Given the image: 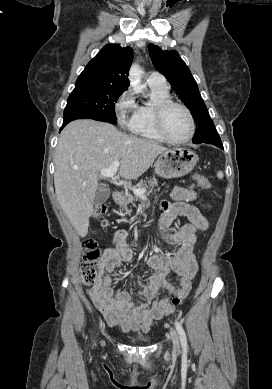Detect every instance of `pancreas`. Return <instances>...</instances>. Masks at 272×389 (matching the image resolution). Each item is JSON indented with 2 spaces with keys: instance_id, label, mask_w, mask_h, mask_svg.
Returning a JSON list of instances; mask_svg holds the SVG:
<instances>
[{
  "instance_id": "obj_1",
  "label": "pancreas",
  "mask_w": 272,
  "mask_h": 389,
  "mask_svg": "<svg viewBox=\"0 0 272 389\" xmlns=\"http://www.w3.org/2000/svg\"><path fill=\"white\" fill-rule=\"evenodd\" d=\"M147 184H148L150 187H152V188L158 186L157 179H156V178H152V179H149V180L144 181V182H143V181L139 182V183L137 184V188H138V189H145V190H146ZM123 198H124V206H123V207H124L125 210H128V209H127V204L132 203L134 200L140 199L141 196H138V195L133 196V195H130V194H128V193H125L124 196H123Z\"/></svg>"
}]
</instances>
